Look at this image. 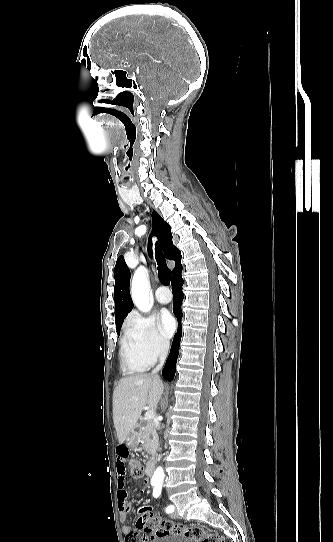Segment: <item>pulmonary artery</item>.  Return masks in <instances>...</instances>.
Masks as SVG:
<instances>
[{
    "mask_svg": "<svg viewBox=\"0 0 333 542\" xmlns=\"http://www.w3.org/2000/svg\"><path fill=\"white\" fill-rule=\"evenodd\" d=\"M157 295L156 300L163 305H166L171 302V295L170 291L168 290L167 286L164 284H161L157 288Z\"/></svg>",
    "mask_w": 333,
    "mask_h": 542,
    "instance_id": "e3ab8cb5",
    "label": "pulmonary artery"
}]
</instances>
